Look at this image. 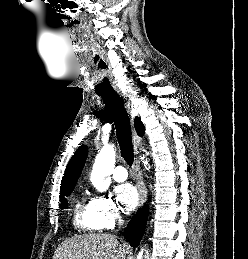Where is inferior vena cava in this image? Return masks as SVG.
Returning a JSON list of instances; mask_svg holds the SVG:
<instances>
[{
    "mask_svg": "<svg viewBox=\"0 0 248 259\" xmlns=\"http://www.w3.org/2000/svg\"><path fill=\"white\" fill-rule=\"evenodd\" d=\"M123 224V220L119 218V225L121 226Z\"/></svg>",
    "mask_w": 248,
    "mask_h": 259,
    "instance_id": "1",
    "label": "inferior vena cava"
}]
</instances>
